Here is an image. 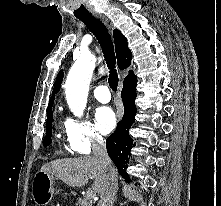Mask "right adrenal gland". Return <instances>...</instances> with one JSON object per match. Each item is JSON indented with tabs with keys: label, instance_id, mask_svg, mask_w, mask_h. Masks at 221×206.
<instances>
[{
	"label": "right adrenal gland",
	"instance_id": "2a0ac1e0",
	"mask_svg": "<svg viewBox=\"0 0 221 206\" xmlns=\"http://www.w3.org/2000/svg\"><path fill=\"white\" fill-rule=\"evenodd\" d=\"M115 201H116V196L114 197V199H113V201L111 203V206H114Z\"/></svg>",
	"mask_w": 221,
	"mask_h": 206
}]
</instances>
